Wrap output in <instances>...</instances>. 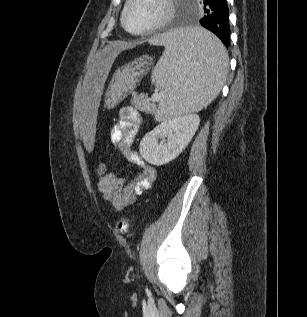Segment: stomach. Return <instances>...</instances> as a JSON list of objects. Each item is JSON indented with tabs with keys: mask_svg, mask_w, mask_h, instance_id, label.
Instances as JSON below:
<instances>
[{
	"mask_svg": "<svg viewBox=\"0 0 307 317\" xmlns=\"http://www.w3.org/2000/svg\"><path fill=\"white\" fill-rule=\"evenodd\" d=\"M151 64V58L142 56L133 62L126 64L114 73L112 82L105 95V106L113 107L130 93L139 82L144 68Z\"/></svg>",
	"mask_w": 307,
	"mask_h": 317,
	"instance_id": "1",
	"label": "stomach"
}]
</instances>
